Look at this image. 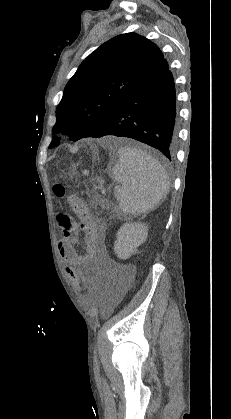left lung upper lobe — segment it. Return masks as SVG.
I'll use <instances>...</instances> for the list:
<instances>
[{
	"mask_svg": "<svg viewBox=\"0 0 231 419\" xmlns=\"http://www.w3.org/2000/svg\"><path fill=\"white\" fill-rule=\"evenodd\" d=\"M164 57L158 46L135 33L118 35L92 52L67 83L56 108L49 148L92 136L111 117L133 88Z\"/></svg>",
	"mask_w": 231,
	"mask_h": 419,
	"instance_id": "5c2ea615",
	"label": "left lung upper lobe"
}]
</instances>
